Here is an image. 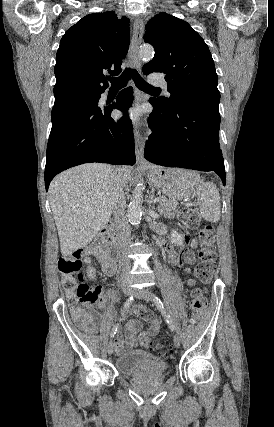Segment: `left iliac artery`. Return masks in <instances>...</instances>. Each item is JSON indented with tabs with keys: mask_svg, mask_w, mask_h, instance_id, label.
<instances>
[{
	"mask_svg": "<svg viewBox=\"0 0 274 427\" xmlns=\"http://www.w3.org/2000/svg\"><path fill=\"white\" fill-rule=\"evenodd\" d=\"M153 300L157 306V308L159 309V311L162 313V315L164 316V319L166 320L169 328L171 329V331L175 330V326L173 324V322L170 319V316L168 315V313L166 312V309L162 303V301L153 294Z\"/></svg>",
	"mask_w": 274,
	"mask_h": 427,
	"instance_id": "obj_1",
	"label": "left iliac artery"
}]
</instances>
